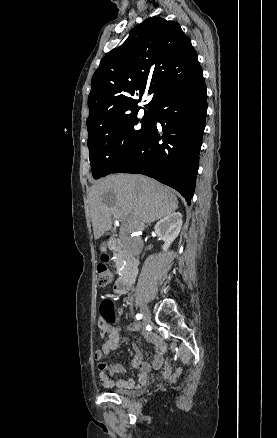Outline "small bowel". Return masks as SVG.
I'll list each match as a JSON object with an SVG mask.
<instances>
[{
	"mask_svg": "<svg viewBox=\"0 0 277 438\" xmlns=\"http://www.w3.org/2000/svg\"><path fill=\"white\" fill-rule=\"evenodd\" d=\"M128 332L131 331H135L137 333H140V335H148L146 338L147 343L152 344L155 341L154 336V331L155 328L153 326H135V325H129L126 327L125 329ZM101 337L105 339L102 348H96L95 349V357L94 360L95 362H97L98 365V374L101 378L102 383L105 386H111L113 384V382L109 379L108 374H110V371H107L108 366L104 360L103 355L105 354H109L111 351L116 350L119 347L120 344V329L119 328H115V327H106L102 330L101 332ZM164 347V344L162 342H159L157 344V354H156V362L155 365L158 368L163 367L164 362L162 359V357L165 355V352L163 350H161ZM133 351L136 352L135 358L133 360V365L139 370L140 372V377H139V381L138 383H135V381L133 379L127 378V379H118L115 384L118 387L121 388H134V387H143L146 383H147V379H148V375L149 372L151 370L150 365H148L147 363H145L140 354V346L139 345H134L133 346ZM166 366L167 367H172L173 366V361L172 360H167L166 361ZM111 371L113 372H120L123 373L124 371L119 368L118 364L113 363L110 366ZM164 377H168V373L165 372Z\"/></svg>",
	"mask_w": 277,
	"mask_h": 438,
	"instance_id": "1",
	"label": "small bowel"
}]
</instances>
